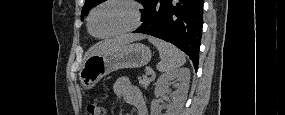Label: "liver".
Segmentation results:
<instances>
[{
	"instance_id": "obj_1",
	"label": "liver",
	"mask_w": 285,
	"mask_h": 115,
	"mask_svg": "<svg viewBox=\"0 0 285 115\" xmlns=\"http://www.w3.org/2000/svg\"><path fill=\"white\" fill-rule=\"evenodd\" d=\"M144 38V36L136 34V35H123L111 40H105L96 46H94L91 50V55H97V54H106V53H111L134 40H139Z\"/></svg>"
}]
</instances>
